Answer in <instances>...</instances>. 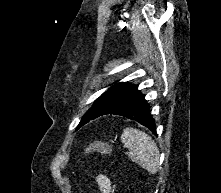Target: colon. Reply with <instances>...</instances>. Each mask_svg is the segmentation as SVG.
<instances>
[{
  "instance_id": "obj_1",
  "label": "colon",
  "mask_w": 221,
  "mask_h": 193,
  "mask_svg": "<svg viewBox=\"0 0 221 193\" xmlns=\"http://www.w3.org/2000/svg\"><path fill=\"white\" fill-rule=\"evenodd\" d=\"M92 151H102L108 153L111 151V148L104 143H93L84 150V155H87Z\"/></svg>"
}]
</instances>
